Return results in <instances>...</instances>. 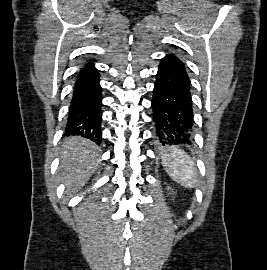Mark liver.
<instances>
[{
  "mask_svg": "<svg viewBox=\"0 0 267 270\" xmlns=\"http://www.w3.org/2000/svg\"><path fill=\"white\" fill-rule=\"evenodd\" d=\"M99 147L81 137H70L62 144L60 179L67 193L81 189L98 166Z\"/></svg>",
  "mask_w": 267,
  "mask_h": 270,
  "instance_id": "obj_1",
  "label": "liver"
}]
</instances>
